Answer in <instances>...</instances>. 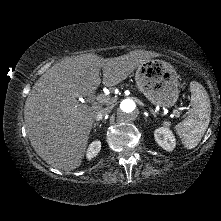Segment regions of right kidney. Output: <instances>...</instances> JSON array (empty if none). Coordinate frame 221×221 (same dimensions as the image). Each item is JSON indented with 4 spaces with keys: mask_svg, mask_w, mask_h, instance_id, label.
Here are the masks:
<instances>
[{
    "mask_svg": "<svg viewBox=\"0 0 221 221\" xmlns=\"http://www.w3.org/2000/svg\"><path fill=\"white\" fill-rule=\"evenodd\" d=\"M101 149V142L100 141H93L87 150V159L91 160L92 158H94L100 151Z\"/></svg>",
    "mask_w": 221,
    "mask_h": 221,
    "instance_id": "obj_1",
    "label": "right kidney"
}]
</instances>
